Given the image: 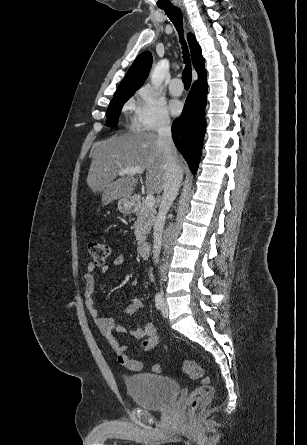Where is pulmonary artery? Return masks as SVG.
<instances>
[{"mask_svg":"<svg viewBox=\"0 0 307 445\" xmlns=\"http://www.w3.org/2000/svg\"><path fill=\"white\" fill-rule=\"evenodd\" d=\"M179 80L180 75L174 74L173 81L170 82V91L174 96H180L183 93V82Z\"/></svg>","mask_w":307,"mask_h":445,"instance_id":"pulmonary-artery-1","label":"pulmonary artery"}]
</instances>
